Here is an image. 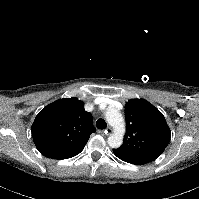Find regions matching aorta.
I'll return each mask as SVG.
<instances>
[{
    "label": "aorta",
    "instance_id": "1",
    "mask_svg": "<svg viewBox=\"0 0 199 199\" xmlns=\"http://www.w3.org/2000/svg\"><path fill=\"white\" fill-rule=\"evenodd\" d=\"M106 121L114 129V133L108 137V145L111 148H118L122 145L125 133V122L122 114L114 108H110L105 113Z\"/></svg>",
    "mask_w": 199,
    "mask_h": 199
}]
</instances>
